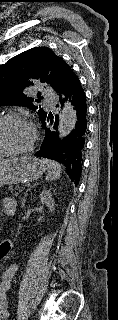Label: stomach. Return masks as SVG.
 <instances>
[{"instance_id":"0dacf381","label":"stomach","mask_w":118,"mask_h":320,"mask_svg":"<svg viewBox=\"0 0 118 320\" xmlns=\"http://www.w3.org/2000/svg\"><path fill=\"white\" fill-rule=\"evenodd\" d=\"M46 165L33 156L13 157L0 161V187L42 177Z\"/></svg>"}]
</instances>
